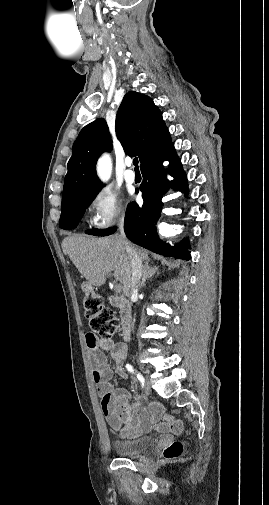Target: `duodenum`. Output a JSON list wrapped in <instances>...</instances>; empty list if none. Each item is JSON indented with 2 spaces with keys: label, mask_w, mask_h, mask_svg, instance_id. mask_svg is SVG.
<instances>
[{
  "label": "duodenum",
  "mask_w": 269,
  "mask_h": 505,
  "mask_svg": "<svg viewBox=\"0 0 269 505\" xmlns=\"http://www.w3.org/2000/svg\"><path fill=\"white\" fill-rule=\"evenodd\" d=\"M110 304L119 309L121 313V337L124 341H128L131 336V327H132V308L130 303L118 296H110L109 298Z\"/></svg>",
  "instance_id": "410a0bca"
}]
</instances>
